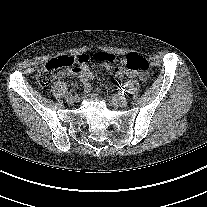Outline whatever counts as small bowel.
<instances>
[{
	"instance_id": "small-bowel-1",
	"label": "small bowel",
	"mask_w": 207,
	"mask_h": 207,
	"mask_svg": "<svg viewBox=\"0 0 207 207\" xmlns=\"http://www.w3.org/2000/svg\"><path fill=\"white\" fill-rule=\"evenodd\" d=\"M108 67V65H106ZM75 75L77 76L81 82L84 85V88L89 91L91 89V80L93 78V73L90 69V67L85 63L82 62L81 67L73 70V71H66L63 72L62 75ZM116 76L118 78L128 77V78H134L137 75L129 70H127L124 66L118 67L116 69ZM140 80L145 81L147 79V76L144 74H141L138 76ZM134 87V86H132Z\"/></svg>"
}]
</instances>
